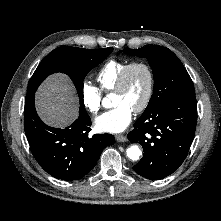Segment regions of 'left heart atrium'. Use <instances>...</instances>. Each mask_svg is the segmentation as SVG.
<instances>
[{
	"label": "left heart atrium",
	"mask_w": 221,
	"mask_h": 221,
	"mask_svg": "<svg viewBox=\"0 0 221 221\" xmlns=\"http://www.w3.org/2000/svg\"><path fill=\"white\" fill-rule=\"evenodd\" d=\"M132 117L133 110L121 103L99 115L95 120V125L99 131L119 133L127 128Z\"/></svg>",
	"instance_id": "obj_1"
}]
</instances>
